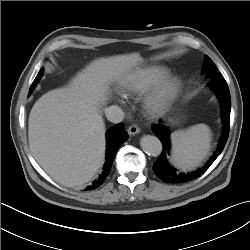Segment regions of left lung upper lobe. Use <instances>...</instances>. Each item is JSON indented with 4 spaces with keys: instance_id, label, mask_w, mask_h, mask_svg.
Listing matches in <instances>:
<instances>
[{
    "instance_id": "left-lung-upper-lobe-1",
    "label": "left lung upper lobe",
    "mask_w": 250,
    "mask_h": 250,
    "mask_svg": "<svg viewBox=\"0 0 250 250\" xmlns=\"http://www.w3.org/2000/svg\"><path fill=\"white\" fill-rule=\"evenodd\" d=\"M203 66H204V70L208 74L207 75L208 77H211V78L221 77V74L219 72H217V67L215 66L213 61L207 55H205V57H204Z\"/></svg>"
}]
</instances>
